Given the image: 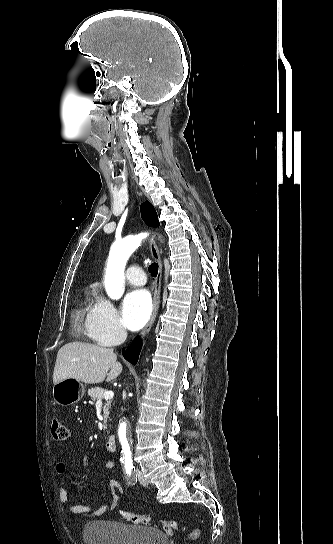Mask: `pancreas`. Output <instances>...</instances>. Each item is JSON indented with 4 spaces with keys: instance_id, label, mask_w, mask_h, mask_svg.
<instances>
[{
    "instance_id": "1",
    "label": "pancreas",
    "mask_w": 333,
    "mask_h": 544,
    "mask_svg": "<svg viewBox=\"0 0 333 544\" xmlns=\"http://www.w3.org/2000/svg\"><path fill=\"white\" fill-rule=\"evenodd\" d=\"M104 393H105V390L103 388H99V387L92 388V389H90L88 391V395L91 397V400L94 401V402L99 400V399H104ZM110 404H111V401L108 400L104 405V417H105V419H107V417H108V410H109ZM104 428H106V427L104 426Z\"/></svg>"
}]
</instances>
